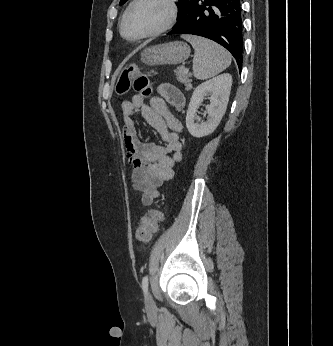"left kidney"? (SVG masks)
Listing matches in <instances>:
<instances>
[{
  "mask_svg": "<svg viewBox=\"0 0 333 346\" xmlns=\"http://www.w3.org/2000/svg\"><path fill=\"white\" fill-rule=\"evenodd\" d=\"M231 86L232 76L229 73H223L196 87L186 115V126L193 137L201 138L207 136L217 128L225 114ZM207 95H210V105L206 107L208 113L207 120L200 121L196 114L197 109Z\"/></svg>",
  "mask_w": 333,
  "mask_h": 346,
  "instance_id": "1",
  "label": "left kidney"
}]
</instances>
